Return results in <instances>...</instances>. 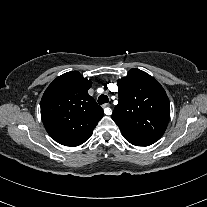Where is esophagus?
<instances>
[{
    "instance_id": "obj_1",
    "label": "esophagus",
    "mask_w": 207,
    "mask_h": 207,
    "mask_svg": "<svg viewBox=\"0 0 207 207\" xmlns=\"http://www.w3.org/2000/svg\"><path fill=\"white\" fill-rule=\"evenodd\" d=\"M103 109H104V113L106 115H111L112 114V110L110 109V105L109 104H104L103 105Z\"/></svg>"
}]
</instances>
